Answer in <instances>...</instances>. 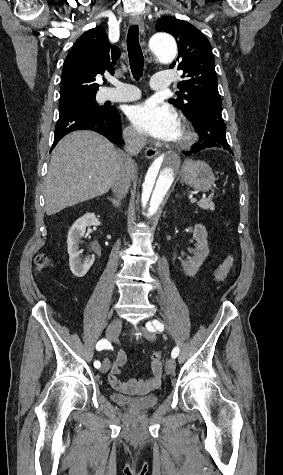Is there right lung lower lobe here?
Instances as JSON below:
<instances>
[{
  "instance_id": "right-lung-lower-lobe-1",
  "label": "right lung lower lobe",
  "mask_w": 283,
  "mask_h": 475,
  "mask_svg": "<svg viewBox=\"0 0 283 475\" xmlns=\"http://www.w3.org/2000/svg\"><path fill=\"white\" fill-rule=\"evenodd\" d=\"M76 130L98 132L117 144L122 135L119 112L115 107H107L106 111L101 113L82 105L60 109L51 150L62 137Z\"/></svg>"
}]
</instances>
